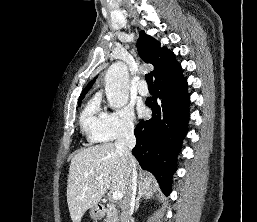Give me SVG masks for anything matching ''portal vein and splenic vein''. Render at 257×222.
I'll use <instances>...</instances> for the list:
<instances>
[{
    "label": "portal vein and splenic vein",
    "mask_w": 257,
    "mask_h": 222,
    "mask_svg": "<svg viewBox=\"0 0 257 222\" xmlns=\"http://www.w3.org/2000/svg\"><path fill=\"white\" fill-rule=\"evenodd\" d=\"M100 179H101L100 177L96 178V180H100ZM122 198H123L122 192H120V191H114L113 192V194H112V199L113 200L117 201V200H120Z\"/></svg>",
    "instance_id": "portal-vein-and-splenic-vein-1"
}]
</instances>
